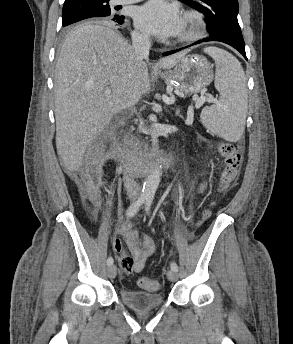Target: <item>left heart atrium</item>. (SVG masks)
<instances>
[{
    "mask_svg": "<svg viewBox=\"0 0 293 344\" xmlns=\"http://www.w3.org/2000/svg\"><path fill=\"white\" fill-rule=\"evenodd\" d=\"M134 21L137 28L161 39L178 35L184 24L178 7L165 0H151L138 8Z\"/></svg>",
    "mask_w": 293,
    "mask_h": 344,
    "instance_id": "39dd6f15",
    "label": "left heart atrium"
}]
</instances>
